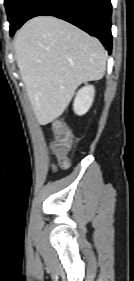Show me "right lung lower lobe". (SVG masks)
Wrapping results in <instances>:
<instances>
[{
  "label": "right lung lower lobe",
  "mask_w": 134,
  "mask_h": 281,
  "mask_svg": "<svg viewBox=\"0 0 134 281\" xmlns=\"http://www.w3.org/2000/svg\"><path fill=\"white\" fill-rule=\"evenodd\" d=\"M41 15L55 16L74 24L99 38L111 53L110 0H29L18 28L27 20Z\"/></svg>",
  "instance_id": "98d812e1"
}]
</instances>
